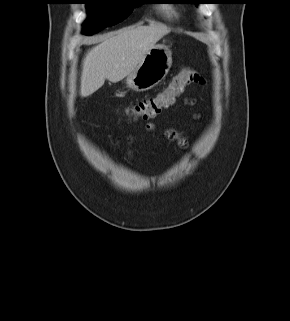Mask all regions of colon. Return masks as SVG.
Returning <instances> with one entry per match:
<instances>
[{
  "mask_svg": "<svg viewBox=\"0 0 290 321\" xmlns=\"http://www.w3.org/2000/svg\"><path fill=\"white\" fill-rule=\"evenodd\" d=\"M204 79L199 72L192 68L183 69L160 93L156 96L139 101L125 109L131 119H151L161 113L163 109L172 106L176 99L191 84H203Z\"/></svg>",
  "mask_w": 290,
  "mask_h": 321,
  "instance_id": "5ec220e1",
  "label": "colon"
}]
</instances>
